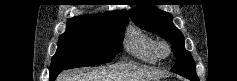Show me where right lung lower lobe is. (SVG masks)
<instances>
[{
    "mask_svg": "<svg viewBox=\"0 0 237 81\" xmlns=\"http://www.w3.org/2000/svg\"><path fill=\"white\" fill-rule=\"evenodd\" d=\"M59 73L50 74V81H54Z\"/></svg>",
    "mask_w": 237,
    "mask_h": 81,
    "instance_id": "obj_1",
    "label": "right lung lower lobe"
}]
</instances>
